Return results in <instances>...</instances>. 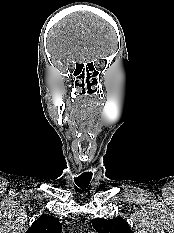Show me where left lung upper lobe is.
Wrapping results in <instances>:
<instances>
[{"label":"left lung upper lobe","instance_id":"5c2ea615","mask_svg":"<svg viewBox=\"0 0 174 233\" xmlns=\"http://www.w3.org/2000/svg\"><path fill=\"white\" fill-rule=\"evenodd\" d=\"M92 225L97 233H133L128 223L123 218L92 219Z\"/></svg>","mask_w":174,"mask_h":233}]
</instances>
